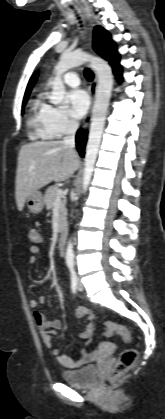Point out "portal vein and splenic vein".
Returning <instances> with one entry per match:
<instances>
[{
  "label": "portal vein and splenic vein",
  "instance_id": "1",
  "mask_svg": "<svg viewBox=\"0 0 165 419\" xmlns=\"http://www.w3.org/2000/svg\"><path fill=\"white\" fill-rule=\"evenodd\" d=\"M56 195H57L56 202H59L60 201V198L63 196V190L62 189H58L56 191Z\"/></svg>",
  "mask_w": 165,
  "mask_h": 419
}]
</instances>
